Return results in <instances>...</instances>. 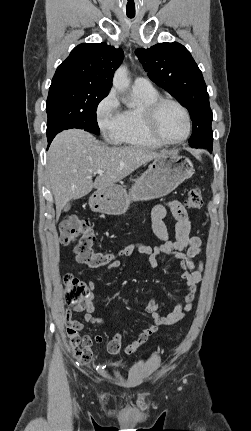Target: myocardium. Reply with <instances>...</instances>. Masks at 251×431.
Listing matches in <instances>:
<instances>
[{
    "instance_id": "f54148a6",
    "label": "myocardium",
    "mask_w": 251,
    "mask_h": 431,
    "mask_svg": "<svg viewBox=\"0 0 251 431\" xmlns=\"http://www.w3.org/2000/svg\"><path fill=\"white\" fill-rule=\"evenodd\" d=\"M166 104H172L178 107L185 118L186 131L184 136L176 141H169L162 137L158 130L157 120L160 110ZM144 124L149 135L161 145L175 146L184 143L191 134V117L187 108L179 101L169 97H158L151 103L147 104L143 110Z\"/></svg>"
}]
</instances>
